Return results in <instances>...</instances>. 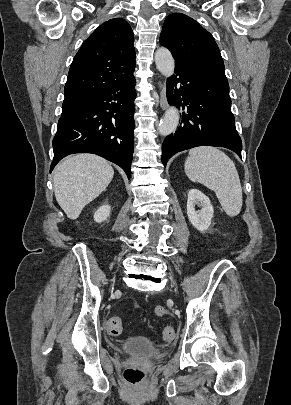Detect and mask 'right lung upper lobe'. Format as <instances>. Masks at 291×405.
Here are the masks:
<instances>
[{
	"mask_svg": "<svg viewBox=\"0 0 291 405\" xmlns=\"http://www.w3.org/2000/svg\"><path fill=\"white\" fill-rule=\"evenodd\" d=\"M134 35L128 22L114 18L82 44L69 69L63 104H79L105 87L125 80L135 69Z\"/></svg>",
	"mask_w": 291,
	"mask_h": 405,
	"instance_id": "cb5924a9",
	"label": "right lung upper lobe"
}]
</instances>
